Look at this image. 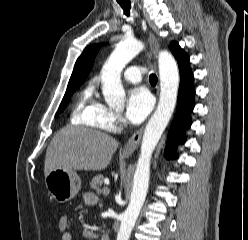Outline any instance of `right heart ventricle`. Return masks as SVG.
<instances>
[{"instance_id":"1","label":"right heart ventricle","mask_w":248,"mask_h":240,"mask_svg":"<svg viewBox=\"0 0 248 240\" xmlns=\"http://www.w3.org/2000/svg\"><path fill=\"white\" fill-rule=\"evenodd\" d=\"M101 106L96 98L94 85H88L82 91L74 107L76 122L97 127L94 123V119Z\"/></svg>"}]
</instances>
